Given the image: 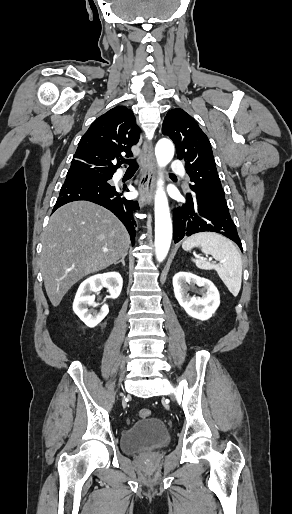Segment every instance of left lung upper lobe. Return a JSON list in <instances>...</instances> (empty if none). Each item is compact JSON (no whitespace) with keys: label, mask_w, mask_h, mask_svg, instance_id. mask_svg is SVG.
<instances>
[{"label":"left lung upper lobe","mask_w":292,"mask_h":514,"mask_svg":"<svg viewBox=\"0 0 292 514\" xmlns=\"http://www.w3.org/2000/svg\"><path fill=\"white\" fill-rule=\"evenodd\" d=\"M162 133L173 140L178 159L185 161L192 194L225 200L211 144L197 122L184 110L172 109L164 119Z\"/></svg>","instance_id":"obj_1"}]
</instances>
